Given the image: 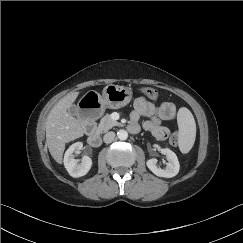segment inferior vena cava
<instances>
[{
  "label": "inferior vena cava",
  "mask_w": 243,
  "mask_h": 243,
  "mask_svg": "<svg viewBox=\"0 0 243 243\" xmlns=\"http://www.w3.org/2000/svg\"><path fill=\"white\" fill-rule=\"evenodd\" d=\"M115 138V133L114 132H107L104 137L103 140L105 143H111Z\"/></svg>",
  "instance_id": "inferior-vena-cava-1"
}]
</instances>
